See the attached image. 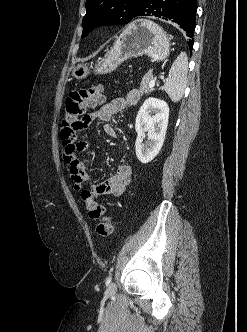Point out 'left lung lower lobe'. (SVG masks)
Here are the masks:
<instances>
[{"label": "left lung lower lobe", "instance_id": "0a47b994", "mask_svg": "<svg viewBox=\"0 0 247 332\" xmlns=\"http://www.w3.org/2000/svg\"><path fill=\"white\" fill-rule=\"evenodd\" d=\"M196 0H146L136 16H156L171 20L182 28L187 36L193 38L196 27ZM194 40L187 44L192 51Z\"/></svg>", "mask_w": 247, "mask_h": 332}]
</instances>
